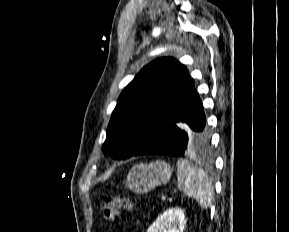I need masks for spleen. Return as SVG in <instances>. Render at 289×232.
I'll return each instance as SVG.
<instances>
[{
  "instance_id": "spleen-1",
  "label": "spleen",
  "mask_w": 289,
  "mask_h": 232,
  "mask_svg": "<svg viewBox=\"0 0 289 232\" xmlns=\"http://www.w3.org/2000/svg\"><path fill=\"white\" fill-rule=\"evenodd\" d=\"M178 187L189 198L195 199L202 209L211 206L213 186L207 174L185 159L177 162Z\"/></svg>"
}]
</instances>
